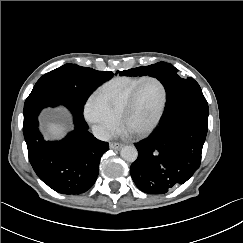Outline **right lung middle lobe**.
<instances>
[{"label":"right lung middle lobe","instance_id":"dd1d6c3e","mask_svg":"<svg viewBox=\"0 0 243 243\" xmlns=\"http://www.w3.org/2000/svg\"><path fill=\"white\" fill-rule=\"evenodd\" d=\"M112 72L97 71L76 64H65L43 75L32 92L55 93L66 98L80 109L91 93L112 77Z\"/></svg>","mask_w":243,"mask_h":243}]
</instances>
